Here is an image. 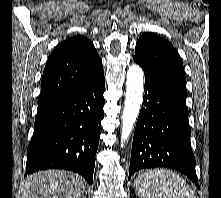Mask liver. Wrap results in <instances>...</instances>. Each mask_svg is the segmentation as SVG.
<instances>
[{
	"label": "liver",
	"instance_id": "obj_1",
	"mask_svg": "<svg viewBox=\"0 0 221 198\" xmlns=\"http://www.w3.org/2000/svg\"><path fill=\"white\" fill-rule=\"evenodd\" d=\"M85 181L64 170H47L29 176L21 198H85Z\"/></svg>",
	"mask_w": 221,
	"mask_h": 198
}]
</instances>
